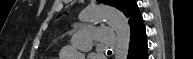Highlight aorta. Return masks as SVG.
Masks as SVG:
<instances>
[{
	"instance_id": "obj_1",
	"label": "aorta",
	"mask_w": 193,
	"mask_h": 59,
	"mask_svg": "<svg viewBox=\"0 0 193 59\" xmlns=\"http://www.w3.org/2000/svg\"><path fill=\"white\" fill-rule=\"evenodd\" d=\"M82 22L106 21L116 32L117 45L115 50V59H126L129 53L130 44V26L128 19L120 11L97 4H90L79 14ZM64 59H84V55L65 48L62 51Z\"/></svg>"
}]
</instances>
